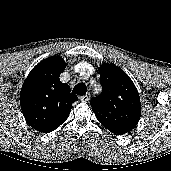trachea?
I'll use <instances>...</instances> for the list:
<instances>
[{
    "mask_svg": "<svg viewBox=\"0 0 171 171\" xmlns=\"http://www.w3.org/2000/svg\"><path fill=\"white\" fill-rule=\"evenodd\" d=\"M73 92L77 95H85L87 92V88L85 86L84 83H78L74 88H73Z\"/></svg>",
    "mask_w": 171,
    "mask_h": 171,
    "instance_id": "3493384b",
    "label": "trachea"
}]
</instances>
